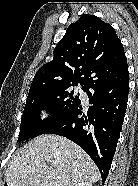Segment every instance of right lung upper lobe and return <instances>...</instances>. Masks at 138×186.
I'll list each match as a JSON object with an SVG mask.
<instances>
[{"label":"right lung upper lobe","instance_id":"obj_1","mask_svg":"<svg viewBox=\"0 0 138 186\" xmlns=\"http://www.w3.org/2000/svg\"><path fill=\"white\" fill-rule=\"evenodd\" d=\"M128 78L125 52L114 28L83 14L70 24L54 49L53 60L34 76L29 93L80 84L118 83Z\"/></svg>","mask_w":138,"mask_h":186}]
</instances>
